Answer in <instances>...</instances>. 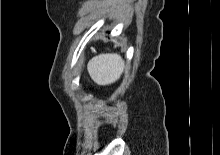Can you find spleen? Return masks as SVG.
I'll use <instances>...</instances> for the list:
<instances>
[{
	"mask_svg": "<svg viewBox=\"0 0 220 155\" xmlns=\"http://www.w3.org/2000/svg\"><path fill=\"white\" fill-rule=\"evenodd\" d=\"M87 70L96 84L106 86L119 80L124 70V61L118 54H100L88 62Z\"/></svg>",
	"mask_w": 220,
	"mask_h": 155,
	"instance_id": "1",
	"label": "spleen"
}]
</instances>
